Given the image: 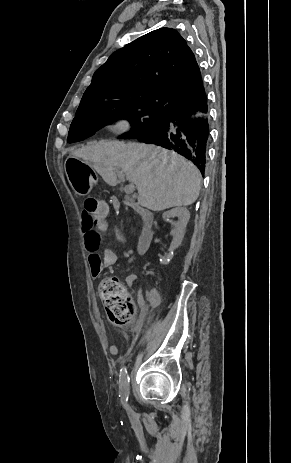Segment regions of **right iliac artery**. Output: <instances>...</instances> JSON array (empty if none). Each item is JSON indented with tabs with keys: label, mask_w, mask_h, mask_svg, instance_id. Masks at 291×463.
Segmentation results:
<instances>
[{
	"label": "right iliac artery",
	"mask_w": 291,
	"mask_h": 463,
	"mask_svg": "<svg viewBox=\"0 0 291 463\" xmlns=\"http://www.w3.org/2000/svg\"><path fill=\"white\" fill-rule=\"evenodd\" d=\"M119 382H120L121 402L123 406H126L128 402V398H129V382H130V378L128 376L126 367H123L120 371Z\"/></svg>",
	"instance_id": "82829eb1"
}]
</instances>
